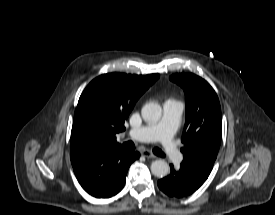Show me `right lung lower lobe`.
Instances as JSON below:
<instances>
[{
    "label": "right lung lower lobe",
    "mask_w": 275,
    "mask_h": 215,
    "mask_svg": "<svg viewBox=\"0 0 275 215\" xmlns=\"http://www.w3.org/2000/svg\"><path fill=\"white\" fill-rule=\"evenodd\" d=\"M140 154L122 145L98 148L72 163L74 173L83 189L97 198H109L124 186L126 174Z\"/></svg>",
    "instance_id": "right-lung-lower-lobe-1"
}]
</instances>
